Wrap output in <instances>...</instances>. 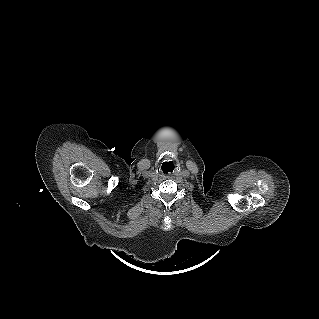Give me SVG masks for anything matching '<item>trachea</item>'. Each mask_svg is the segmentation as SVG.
Instances as JSON below:
<instances>
[{
  "instance_id": "1",
  "label": "trachea",
  "mask_w": 319,
  "mask_h": 319,
  "mask_svg": "<svg viewBox=\"0 0 319 319\" xmlns=\"http://www.w3.org/2000/svg\"><path fill=\"white\" fill-rule=\"evenodd\" d=\"M173 166H174V165H172L171 163H167V165L165 166V168H163V169H164L163 171H165V172H171V170L174 169Z\"/></svg>"
}]
</instances>
